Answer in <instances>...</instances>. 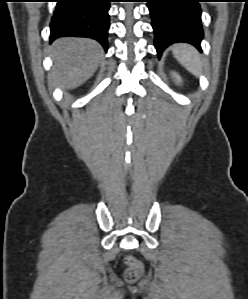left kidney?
<instances>
[{
  "label": "left kidney",
  "instance_id": "left-kidney-1",
  "mask_svg": "<svg viewBox=\"0 0 248 299\" xmlns=\"http://www.w3.org/2000/svg\"><path fill=\"white\" fill-rule=\"evenodd\" d=\"M172 75H173V77L175 78V81H176L178 84L182 82L181 77H180L176 72H173Z\"/></svg>",
  "mask_w": 248,
  "mask_h": 299
}]
</instances>
